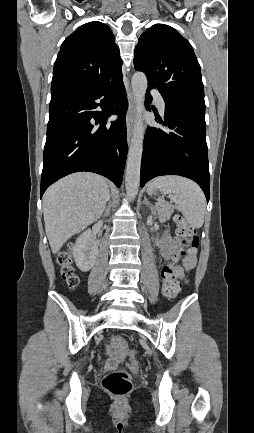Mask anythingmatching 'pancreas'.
<instances>
[{
    "label": "pancreas",
    "instance_id": "cf45deb5",
    "mask_svg": "<svg viewBox=\"0 0 254 433\" xmlns=\"http://www.w3.org/2000/svg\"><path fill=\"white\" fill-rule=\"evenodd\" d=\"M173 206L171 204L161 203L154 207V213H157L160 220H168L173 214Z\"/></svg>",
    "mask_w": 254,
    "mask_h": 433
}]
</instances>
